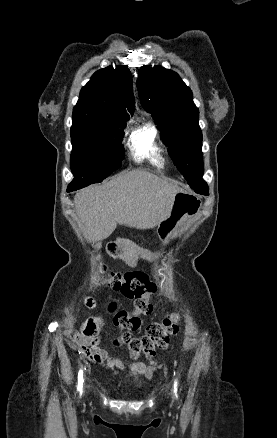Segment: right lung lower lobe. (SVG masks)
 I'll return each instance as SVG.
<instances>
[{
	"label": "right lung lower lobe",
	"mask_w": 277,
	"mask_h": 438,
	"mask_svg": "<svg viewBox=\"0 0 277 438\" xmlns=\"http://www.w3.org/2000/svg\"><path fill=\"white\" fill-rule=\"evenodd\" d=\"M77 189H80V188L79 187L68 186L67 192H71V191H74V190H77Z\"/></svg>",
	"instance_id": "right-lung-lower-lobe-1"
}]
</instances>
